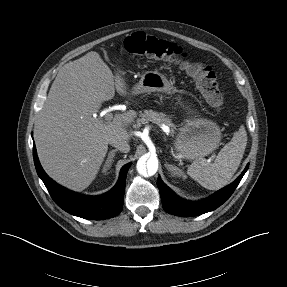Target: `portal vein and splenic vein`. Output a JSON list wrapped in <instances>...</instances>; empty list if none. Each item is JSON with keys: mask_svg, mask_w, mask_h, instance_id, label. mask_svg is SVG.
Returning <instances> with one entry per match:
<instances>
[{"mask_svg": "<svg viewBox=\"0 0 287 287\" xmlns=\"http://www.w3.org/2000/svg\"><path fill=\"white\" fill-rule=\"evenodd\" d=\"M110 111H111L110 109H106V110H104V111L101 112V116H104V117H105V120H106L107 122L111 121L112 118H113V114L110 113Z\"/></svg>", "mask_w": 287, "mask_h": 287, "instance_id": "portal-vein-and-splenic-vein-1", "label": "portal vein and splenic vein"}]
</instances>
